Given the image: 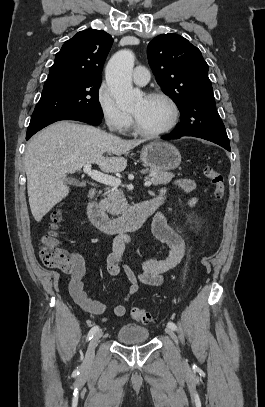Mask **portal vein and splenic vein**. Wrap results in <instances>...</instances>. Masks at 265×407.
Here are the masks:
<instances>
[{
  "mask_svg": "<svg viewBox=\"0 0 265 407\" xmlns=\"http://www.w3.org/2000/svg\"><path fill=\"white\" fill-rule=\"evenodd\" d=\"M83 171L93 180L100 182L102 184H106L113 187H118L121 184V180L114 176L99 172L97 170H92L91 164L84 165ZM151 184H152L151 180H146L144 183V185L147 187L151 186Z\"/></svg>",
  "mask_w": 265,
  "mask_h": 407,
  "instance_id": "1",
  "label": "portal vein and splenic vein"
}]
</instances>
